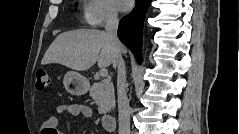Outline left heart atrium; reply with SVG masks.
<instances>
[{"label":"left heart atrium","mask_w":239,"mask_h":134,"mask_svg":"<svg viewBox=\"0 0 239 134\" xmlns=\"http://www.w3.org/2000/svg\"><path fill=\"white\" fill-rule=\"evenodd\" d=\"M117 3H118L120 10H122V11H128L132 6L131 0H118Z\"/></svg>","instance_id":"1"}]
</instances>
